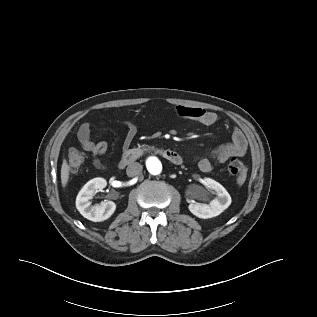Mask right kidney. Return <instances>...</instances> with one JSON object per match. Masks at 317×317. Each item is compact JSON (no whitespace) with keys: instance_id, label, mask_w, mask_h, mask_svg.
<instances>
[{"instance_id":"ca27d5eb","label":"right kidney","mask_w":317,"mask_h":317,"mask_svg":"<svg viewBox=\"0 0 317 317\" xmlns=\"http://www.w3.org/2000/svg\"><path fill=\"white\" fill-rule=\"evenodd\" d=\"M107 182L104 178H94L88 181L79 191L76 198V208L81 215L88 220L101 222L107 220L116 210L113 201H103L97 205H91L93 194L106 187Z\"/></svg>"}]
</instances>
